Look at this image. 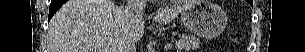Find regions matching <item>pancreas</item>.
<instances>
[{
    "label": "pancreas",
    "instance_id": "obj_1",
    "mask_svg": "<svg viewBox=\"0 0 305 52\" xmlns=\"http://www.w3.org/2000/svg\"><path fill=\"white\" fill-rule=\"evenodd\" d=\"M199 45L200 40L193 35H181L179 36V39L175 41V48L179 52L182 49H185L186 51L196 49L199 47Z\"/></svg>",
    "mask_w": 305,
    "mask_h": 52
}]
</instances>
